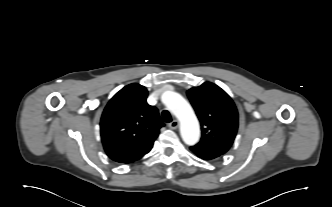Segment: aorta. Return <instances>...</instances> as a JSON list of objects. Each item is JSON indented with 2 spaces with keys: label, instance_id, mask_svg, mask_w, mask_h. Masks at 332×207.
I'll return each instance as SVG.
<instances>
[{
  "label": "aorta",
  "instance_id": "obj_1",
  "mask_svg": "<svg viewBox=\"0 0 332 207\" xmlns=\"http://www.w3.org/2000/svg\"><path fill=\"white\" fill-rule=\"evenodd\" d=\"M166 107L180 121V133L187 145H194L200 137V126L191 105L176 92H165L162 97Z\"/></svg>",
  "mask_w": 332,
  "mask_h": 207
}]
</instances>
